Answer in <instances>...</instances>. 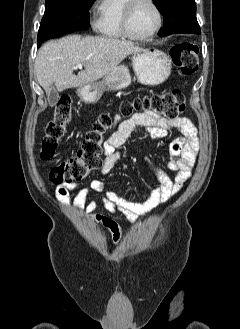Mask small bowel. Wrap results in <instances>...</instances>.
<instances>
[{
	"mask_svg": "<svg viewBox=\"0 0 240 329\" xmlns=\"http://www.w3.org/2000/svg\"><path fill=\"white\" fill-rule=\"evenodd\" d=\"M115 122L116 129L103 145L104 157L99 168L102 175L108 174L123 157L119 148L136 130L143 129L152 139L165 138L174 129L180 133V136L174 139L169 147L171 158L167 163V168L174 172V175L171 176L162 168L148 163L158 180V184L141 201L120 196L109 189L101 180H93L87 186L76 183L58 185L56 194L63 203L66 205L73 204L78 209H85L92 220L108 229L113 243L119 245L122 241V231L117 220L113 216L95 212L96 209L102 205L110 214L114 215L121 212L126 220L131 223L135 222L139 216L149 213L157 205L168 201L181 190L183 184L191 176L199 144L197 129L186 117L165 119L155 112L144 110L127 119H122L120 115H116ZM71 192H76L74 199L70 197ZM90 192L103 194L102 200L100 202L95 200L87 202Z\"/></svg>",
	"mask_w": 240,
	"mask_h": 329,
	"instance_id": "1",
	"label": "small bowel"
}]
</instances>
